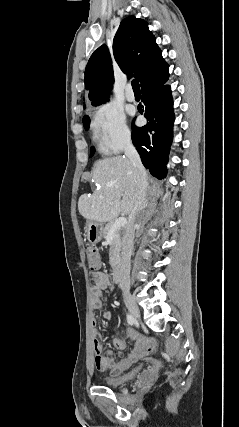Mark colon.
Returning <instances> with one entry per match:
<instances>
[{
    "label": "colon",
    "instance_id": "colon-1",
    "mask_svg": "<svg viewBox=\"0 0 239 427\" xmlns=\"http://www.w3.org/2000/svg\"><path fill=\"white\" fill-rule=\"evenodd\" d=\"M86 258H87L88 267L91 270L97 271L100 269L102 264L101 256L98 249L95 246L93 245L86 246Z\"/></svg>",
    "mask_w": 239,
    "mask_h": 427
}]
</instances>
